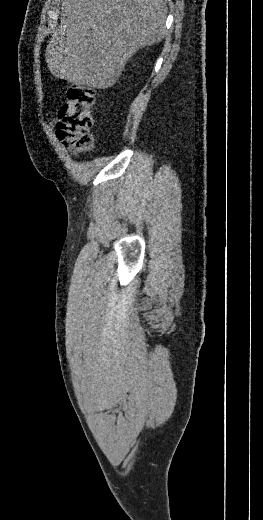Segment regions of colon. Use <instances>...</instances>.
Masks as SVG:
<instances>
[{
  "mask_svg": "<svg viewBox=\"0 0 263 520\" xmlns=\"http://www.w3.org/2000/svg\"><path fill=\"white\" fill-rule=\"evenodd\" d=\"M95 91L90 87L71 86L67 101L60 110L56 135L74 155L87 152L93 147L90 130L93 125L92 109Z\"/></svg>",
  "mask_w": 263,
  "mask_h": 520,
  "instance_id": "1",
  "label": "colon"
}]
</instances>
